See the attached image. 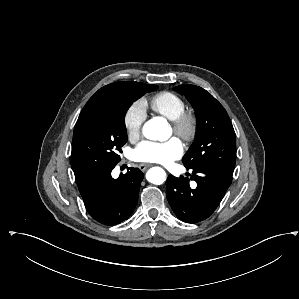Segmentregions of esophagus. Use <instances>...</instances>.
<instances>
[{
	"label": "esophagus",
	"mask_w": 299,
	"mask_h": 299,
	"mask_svg": "<svg viewBox=\"0 0 299 299\" xmlns=\"http://www.w3.org/2000/svg\"><path fill=\"white\" fill-rule=\"evenodd\" d=\"M150 167V164H139V169L141 170V171H145L147 168H149Z\"/></svg>",
	"instance_id": "1"
}]
</instances>
